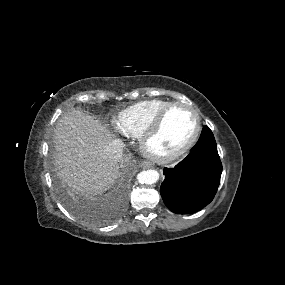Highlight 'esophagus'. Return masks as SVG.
Segmentation results:
<instances>
[{"label":"esophagus","mask_w":285,"mask_h":285,"mask_svg":"<svg viewBox=\"0 0 285 285\" xmlns=\"http://www.w3.org/2000/svg\"><path fill=\"white\" fill-rule=\"evenodd\" d=\"M141 165L144 168H151L152 167V163L149 161H143Z\"/></svg>","instance_id":"34e87169"}]
</instances>
